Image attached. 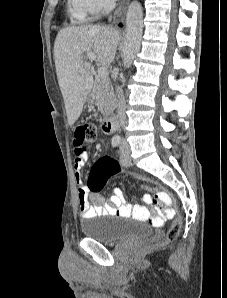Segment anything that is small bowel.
<instances>
[{
    "instance_id": "small-bowel-1",
    "label": "small bowel",
    "mask_w": 227,
    "mask_h": 298,
    "mask_svg": "<svg viewBox=\"0 0 227 298\" xmlns=\"http://www.w3.org/2000/svg\"><path fill=\"white\" fill-rule=\"evenodd\" d=\"M91 142H82L81 146H74V168L75 180L78 185V207L79 215L82 219H89L96 216L117 215L123 217L134 216L142 219L150 218V211L147 207L141 205L126 204L123 191L116 187L113 189V194L106 200L97 193H92L90 189L83 185L82 169L88 158V151L84 147H91ZM149 179L143 178V181ZM149 191V190H148ZM151 192V191H150ZM144 202L151 204L153 208V197L145 194Z\"/></svg>"
}]
</instances>
